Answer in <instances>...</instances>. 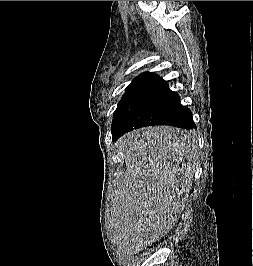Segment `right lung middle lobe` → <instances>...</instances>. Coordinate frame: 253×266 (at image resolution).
I'll return each mask as SVG.
<instances>
[{
	"instance_id": "obj_1",
	"label": "right lung middle lobe",
	"mask_w": 253,
	"mask_h": 266,
	"mask_svg": "<svg viewBox=\"0 0 253 266\" xmlns=\"http://www.w3.org/2000/svg\"><path fill=\"white\" fill-rule=\"evenodd\" d=\"M173 95L168 86L125 95L114 112L113 123H125L130 128L154 125L170 110Z\"/></svg>"
}]
</instances>
